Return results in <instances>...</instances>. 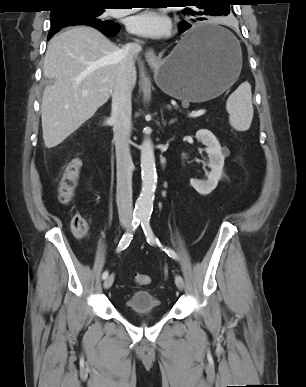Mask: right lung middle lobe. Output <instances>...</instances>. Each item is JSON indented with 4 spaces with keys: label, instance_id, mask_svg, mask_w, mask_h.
Returning a JSON list of instances; mask_svg holds the SVG:
<instances>
[{
    "label": "right lung middle lobe",
    "instance_id": "obj_1",
    "mask_svg": "<svg viewBox=\"0 0 306 387\" xmlns=\"http://www.w3.org/2000/svg\"><path fill=\"white\" fill-rule=\"evenodd\" d=\"M104 11L103 7L97 6H73L62 8L58 12H51V32L73 25H87L96 29L116 27L117 23L113 24L101 19L100 16Z\"/></svg>",
    "mask_w": 306,
    "mask_h": 387
}]
</instances>
